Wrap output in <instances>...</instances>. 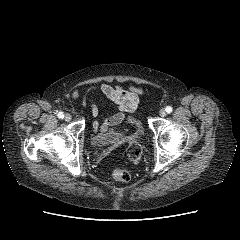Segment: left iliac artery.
<instances>
[{"label": "left iliac artery", "mask_w": 240, "mask_h": 240, "mask_svg": "<svg viewBox=\"0 0 240 240\" xmlns=\"http://www.w3.org/2000/svg\"><path fill=\"white\" fill-rule=\"evenodd\" d=\"M165 110H166L167 113H171V112L173 111V109H172L171 106H167V107L165 108Z\"/></svg>", "instance_id": "obj_1"}]
</instances>
